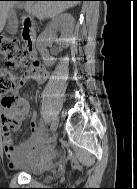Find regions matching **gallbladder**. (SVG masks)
<instances>
[{
    "label": "gallbladder",
    "mask_w": 137,
    "mask_h": 189,
    "mask_svg": "<svg viewBox=\"0 0 137 189\" xmlns=\"http://www.w3.org/2000/svg\"><path fill=\"white\" fill-rule=\"evenodd\" d=\"M24 5L23 3H19L15 5L12 9L9 10L8 12V24L6 31L10 34H15L17 32V25H18V20L16 16V8H23Z\"/></svg>",
    "instance_id": "1"
}]
</instances>
